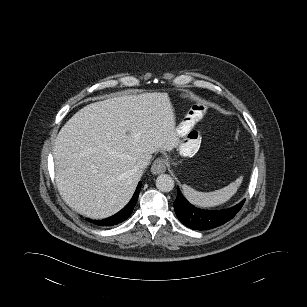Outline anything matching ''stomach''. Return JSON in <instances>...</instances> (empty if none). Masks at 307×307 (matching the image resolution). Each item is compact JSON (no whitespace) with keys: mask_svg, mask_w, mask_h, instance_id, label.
<instances>
[{"mask_svg":"<svg viewBox=\"0 0 307 307\" xmlns=\"http://www.w3.org/2000/svg\"><path fill=\"white\" fill-rule=\"evenodd\" d=\"M200 141L199 133L194 131L189 134L179 142L180 154L183 156H193L199 149Z\"/></svg>","mask_w":307,"mask_h":307,"instance_id":"stomach-1","label":"stomach"}]
</instances>
